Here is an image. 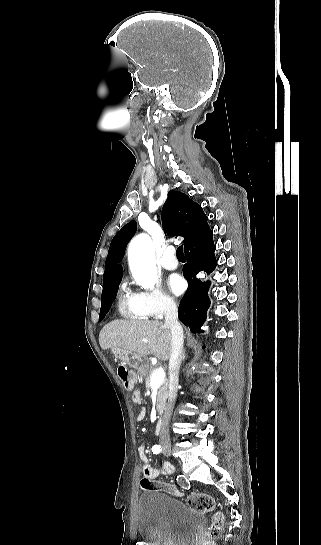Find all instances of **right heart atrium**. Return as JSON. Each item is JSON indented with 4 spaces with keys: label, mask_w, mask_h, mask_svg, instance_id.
<instances>
[{
    "label": "right heart atrium",
    "mask_w": 321,
    "mask_h": 545,
    "mask_svg": "<svg viewBox=\"0 0 321 545\" xmlns=\"http://www.w3.org/2000/svg\"><path fill=\"white\" fill-rule=\"evenodd\" d=\"M134 304L142 317L150 320H160L174 313L177 302L154 285L153 289L134 292Z\"/></svg>",
    "instance_id": "d8ad5b80"
}]
</instances>
